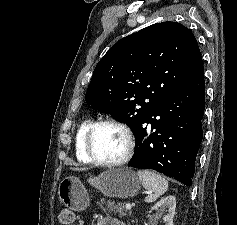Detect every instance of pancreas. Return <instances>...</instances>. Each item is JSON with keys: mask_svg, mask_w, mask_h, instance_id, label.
<instances>
[{"mask_svg": "<svg viewBox=\"0 0 237 225\" xmlns=\"http://www.w3.org/2000/svg\"><path fill=\"white\" fill-rule=\"evenodd\" d=\"M98 205L104 211H107L108 213L118 214L119 217H123L126 215L124 203H115L111 200L101 199L100 202H98Z\"/></svg>", "mask_w": 237, "mask_h": 225, "instance_id": "obj_1", "label": "pancreas"}]
</instances>
